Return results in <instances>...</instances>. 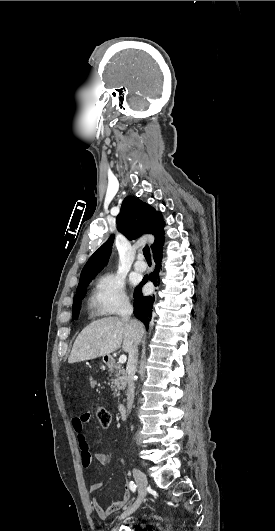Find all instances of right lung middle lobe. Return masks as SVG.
<instances>
[{
	"instance_id": "obj_1",
	"label": "right lung middle lobe",
	"mask_w": 275,
	"mask_h": 531,
	"mask_svg": "<svg viewBox=\"0 0 275 531\" xmlns=\"http://www.w3.org/2000/svg\"><path fill=\"white\" fill-rule=\"evenodd\" d=\"M90 281H91V279H89L87 282H85L76 291V295L74 297V302H73V314H72V319L73 320H76L78 318V316H79L82 299L85 296L86 287H87V285L89 284Z\"/></svg>"
}]
</instances>
